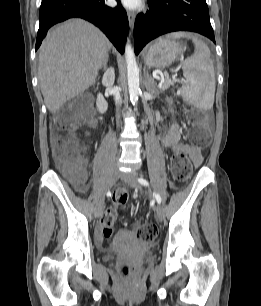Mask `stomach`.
<instances>
[{"instance_id":"0dacf381","label":"stomach","mask_w":261,"mask_h":306,"mask_svg":"<svg viewBox=\"0 0 261 306\" xmlns=\"http://www.w3.org/2000/svg\"><path fill=\"white\" fill-rule=\"evenodd\" d=\"M185 49V44L174 38L160 37L144 52L146 65L155 68H165L175 62Z\"/></svg>"}]
</instances>
